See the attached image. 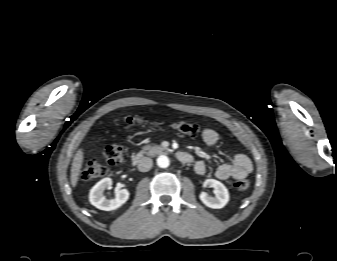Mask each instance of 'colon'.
<instances>
[{
	"label": "colon",
	"mask_w": 337,
	"mask_h": 261,
	"mask_svg": "<svg viewBox=\"0 0 337 261\" xmlns=\"http://www.w3.org/2000/svg\"><path fill=\"white\" fill-rule=\"evenodd\" d=\"M122 122L127 126L143 125L147 123L144 119L135 116H124ZM165 125L185 136L199 137L204 135V130L195 123L179 121ZM124 155L125 149L121 144L110 143L104 148L105 159L111 165L122 162ZM106 174L107 168L96 160L86 161L81 171V177L84 180H94L101 178ZM232 186L238 191H245L249 187V182L244 178L237 179L232 183Z\"/></svg>",
	"instance_id": "5ec220e1"
}]
</instances>
